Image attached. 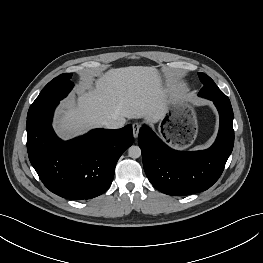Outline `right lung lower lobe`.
Listing matches in <instances>:
<instances>
[{
  "label": "right lung lower lobe",
  "instance_id": "obj_1",
  "mask_svg": "<svg viewBox=\"0 0 263 263\" xmlns=\"http://www.w3.org/2000/svg\"><path fill=\"white\" fill-rule=\"evenodd\" d=\"M59 102L27 117V150L43 184L70 200L91 199L111 185L115 166L133 141L132 125L95 129L82 137L62 141L51 121Z\"/></svg>",
  "mask_w": 263,
  "mask_h": 263
}]
</instances>
